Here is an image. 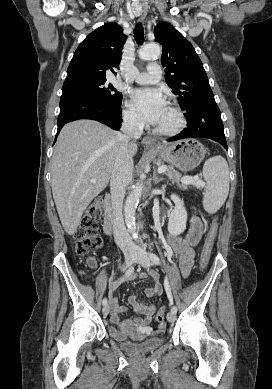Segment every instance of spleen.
I'll return each mask as SVG.
<instances>
[{
    "mask_svg": "<svg viewBox=\"0 0 272 389\" xmlns=\"http://www.w3.org/2000/svg\"><path fill=\"white\" fill-rule=\"evenodd\" d=\"M203 177L207 183L203 197L204 209L213 214L225 203L229 193V168L222 156L208 159L203 166Z\"/></svg>",
    "mask_w": 272,
    "mask_h": 389,
    "instance_id": "1",
    "label": "spleen"
}]
</instances>
